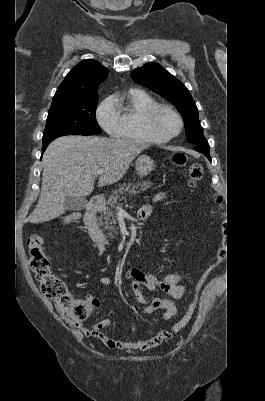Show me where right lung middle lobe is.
<instances>
[{"mask_svg": "<svg viewBox=\"0 0 265 401\" xmlns=\"http://www.w3.org/2000/svg\"><path fill=\"white\" fill-rule=\"evenodd\" d=\"M98 95L69 100L51 106L43 134V144L64 135H95L102 132L96 117Z\"/></svg>", "mask_w": 265, "mask_h": 401, "instance_id": "right-lung-middle-lobe-1", "label": "right lung middle lobe"}]
</instances>
